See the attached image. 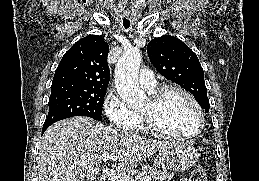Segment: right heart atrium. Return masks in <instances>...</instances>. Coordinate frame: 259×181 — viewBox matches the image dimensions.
Wrapping results in <instances>:
<instances>
[{"mask_svg": "<svg viewBox=\"0 0 259 181\" xmlns=\"http://www.w3.org/2000/svg\"><path fill=\"white\" fill-rule=\"evenodd\" d=\"M103 109L113 128L129 130L134 122V112L120 95L111 90L103 101Z\"/></svg>", "mask_w": 259, "mask_h": 181, "instance_id": "right-heart-atrium-1", "label": "right heart atrium"}]
</instances>
